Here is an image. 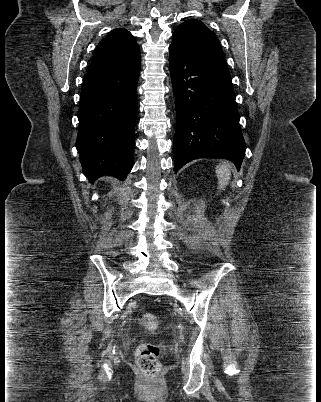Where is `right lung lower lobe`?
Wrapping results in <instances>:
<instances>
[{
    "label": "right lung lower lobe",
    "instance_id": "1",
    "mask_svg": "<svg viewBox=\"0 0 321 402\" xmlns=\"http://www.w3.org/2000/svg\"><path fill=\"white\" fill-rule=\"evenodd\" d=\"M139 72L140 66L84 77L76 148L90 182L104 175L124 180L132 169Z\"/></svg>",
    "mask_w": 321,
    "mask_h": 402
}]
</instances>
